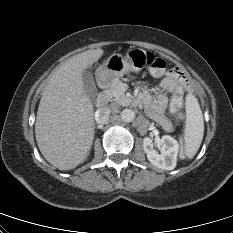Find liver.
<instances>
[{
	"label": "liver",
	"instance_id": "6515ba94",
	"mask_svg": "<svg viewBox=\"0 0 233 233\" xmlns=\"http://www.w3.org/2000/svg\"><path fill=\"white\" fill-rule=\"evenodd\" d=\"M104 51L87 50L71 57L51 77L38 107L35 135L44 158L70 170L88 157L94 139V108L84 91L82 73Z\"/></svg>",
	"mask_w": 233,
	"mask_h": 233
}]
</instances>
